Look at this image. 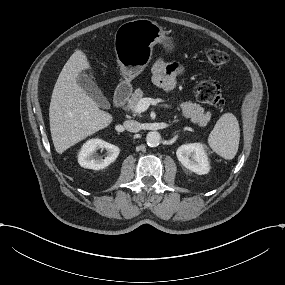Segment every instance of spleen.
Segmentation results:
<instances>
[{
    "label": "spleen",
    "instance_id": "spleen-1",
    "mask_svg": "<svg viewBox=\"0 0 285 285\" xmlns=\"http://www.w3.org/2000/svg\"><path fill=\"white\" fill-rule=\"evenodd\" d=\"M240 128L232 113L223 114L208 137L209 146L224 159L231 160L238 151Z\"/></svg>",
    "mask_w": 285,
    "mask_h": 285
}]
</instances>
